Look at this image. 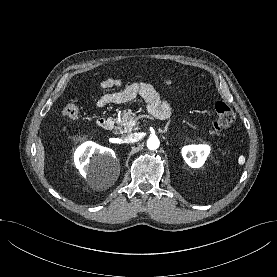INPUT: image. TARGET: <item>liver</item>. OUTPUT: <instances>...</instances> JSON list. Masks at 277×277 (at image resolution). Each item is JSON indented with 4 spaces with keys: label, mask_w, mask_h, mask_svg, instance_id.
<instances>
[{
    "label": "liver",
    "mask_w": 277,
    "mask_h": 277,
    "mask_svg": "<svg viewBox=\"0 0 277 277\" xmlns=\"http://www.w3.org/2000/svg\"><path fill=\"white\" fill-rule=\"evenodd\" d=\"M37 155H38L39 167L41 168V170H43L44 165H45V163H44V160H45V151H44V147H43V144L41 142V139L38 140Z\"/></svg>",
    "instance_id": "liver-1"
}]
</instances>
